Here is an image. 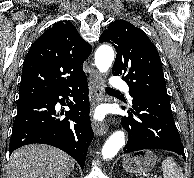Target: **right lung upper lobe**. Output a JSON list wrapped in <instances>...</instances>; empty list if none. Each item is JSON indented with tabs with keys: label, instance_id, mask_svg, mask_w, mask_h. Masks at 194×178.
<instances>
[{
	"label": "right lung upper lobe",
	"instance_id": "cb5924a9",
	"mask_svg": "<svg viewBox=\"0 0 194 178\" xmlns=\"http://www.w3.org/2000/svg\"><path fill=\"white\" fill-rule=\"evenodd\" d=\"M91 50L72 23H55L28 51L18 101L79 86L87 80L82 68Z\"/></svg>",
	"mask_w": 194,
	"mask_h": 178
}]
</instances>
